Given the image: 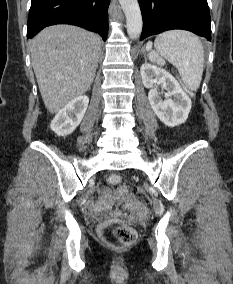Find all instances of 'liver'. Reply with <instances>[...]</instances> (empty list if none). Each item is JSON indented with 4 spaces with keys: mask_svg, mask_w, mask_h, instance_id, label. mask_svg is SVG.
Masks as SVG:
<instances>
[{
    "mask_svg": "<svg viewBox=\"0 0 233 284\" xmlns=\"http://www.w3.org/2000/svg\"><path fill=\"white\" fill-rule=\"evenodd\" d=\"M30 45L38 87L49 112H59L90 89L101 53L98 35L72 25H53Z\"/></svg>",
    "mask_w": 233,
    "mask_h": 284,
    "instance_id": "6515ba94",
    "label": "liver"
}]
</instances>
